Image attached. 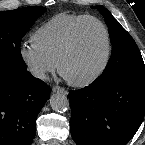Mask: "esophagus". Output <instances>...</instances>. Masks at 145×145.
Segmentation results:
<instances>
[{
  "label": "esophagus",
  "instance_id": "esophagus-1",
  "mask_svg": "<svg viewBox=\"0 0 145 145\" xmlns=\"http://www.w3.org/2000/svg\"><path fill=\"white\" fill-rule=\"evenodd\" d=\"M52 92L53 93H62V94H68L67 90H65L64 88L60 87V86H53L52 88Z\"/></svg>",
  "mask_w": 145,
  "mask_h": 145
}]
</instances>
